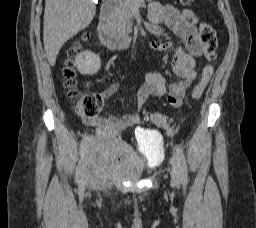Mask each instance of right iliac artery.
<instances>
[{
    "label": "right iliac artery",
    "mask_w": 256,
    "mask_h": 228,
    "mask_svg": "<svg viewBox=\"0 0 256 228\" xmlns=\"http://www.w3.org/2000/svg\"><path fill=\"white\" fill-rule=\"evenodd\" d=\"M81 145V149H80V160H79V164L77 166L76 169V180L80 183L81 182V173H82V159H83V154L86 151V143H87V137H84V139L80 140Z\"/></svg>",
    "instance_id": "1"
}]
</instances>
